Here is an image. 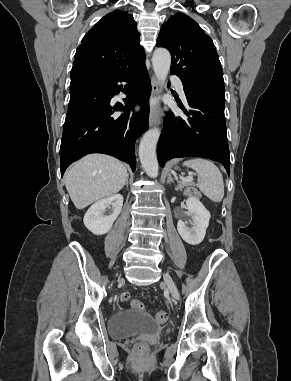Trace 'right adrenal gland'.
Segmentation results:
<instances>
[{"mask_svg": "<svg viewBox=\"0 0 291 381\" xmlns=\"http://www.w3.org/2000/svg\"><path fill=\"white\" fill-rule=\"evenodd\" d=\"M126 186L128 187V178H127V180H126Z\"/></svg>", "mask_w": 291, "mask_h": 381, "instance_id": "2a0ac1e0", "label": "right adrenal gland"}]
</instances>
